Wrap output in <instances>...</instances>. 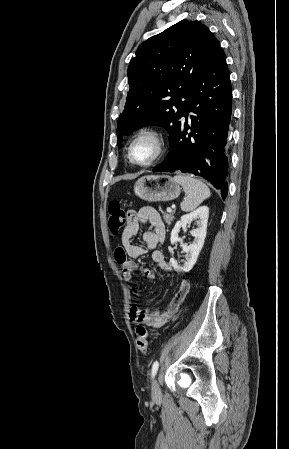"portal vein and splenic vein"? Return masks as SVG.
<instances>
[{"instance_id": "1", "label": "portal vein and splenic vein", "mask_w": 289, "mask_h": 449, "mask_svg": "<svg viewBox=\"0 0 289 449\" xmlns=\"http://www.w3.org/2000/svg\"><path fill=\"white\" fill-rule=\"evenodd\" d=\"M167 212H172V209L169 207V208H167Z\"/></svg>"}]
</instances>
